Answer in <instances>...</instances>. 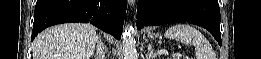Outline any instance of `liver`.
<instances>
[{
	"instance_id": "6515ba94",
	"label": "liver",
	"mask_w": 261,
	"mask_h": 59,
	"mask_svg": "<svg viewBox=\"0 0 261 59\" xmlns=\"http://www.w3.org/2000/svg\"><path fill=\"white\" fill-rule=\"evenodd\" d=\"M96 42V28L91 24L53 26L36 37L33 59H90Z\"/></svg>"
}]
</instances>
